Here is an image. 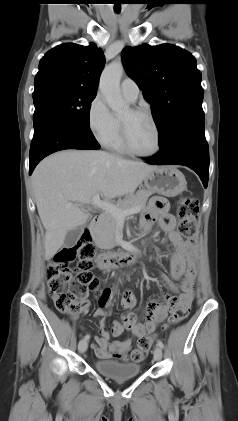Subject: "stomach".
<instances>
[{
  "label": "stomach",
  "mask_w": 238,
  "mask_h": 421,
  "mask_svg": "<svg viewBox=\"0 0 238 421\" xmlns=\"http://www.w3.org/2000/svg\"><path fill=\"white\" fill-rule=\"evenodd\" d=\"M145 186L159 194L174 197L186 188L184 175L172 166H157L144 178Z\"/></svg>",
  "instance_id": "stomach-1"
}]
</instances>
